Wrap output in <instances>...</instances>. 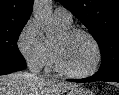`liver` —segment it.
<instances>
[{
	"label": "liver",
	"mask_w": 119,
	"mask_h": 95,
	"mask_svg": "<svg viewBox=\"0 0 119 95\" xmlns=\"http://www.w3.org/2000/svg\"><path fill=\"white\" fill-rule=\"evenodd\" d=\"M76 87L63 81L32 77L28 72L0 75V95H63Z\"/></svg>",
	"instance_id": "6515ba94"
}]
</instances>
